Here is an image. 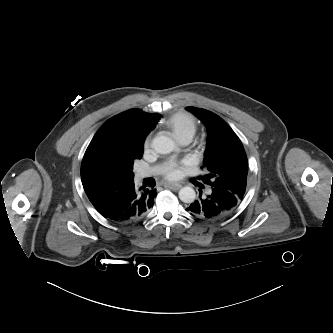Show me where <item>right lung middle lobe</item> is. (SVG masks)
<instances>
[{
	"instance_id": "obj_1",
	"label": "right lung middle lobe",
	"mask_w": 333,
	"mask_h": 333,
	"mask_svg": "<svg viewBox=\"0 0 333 333\" xmlns=\"http://www.w3.org/2000/svg\"><path fill=\"white\" fill-rule=\"evenodd\" d=\"M143 149L127 139L112 138L89 154L81 164L83 187L95 184H122L133 181V164Z\"/></svg>"
}]
</instances>
